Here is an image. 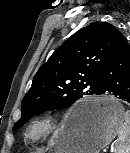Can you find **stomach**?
I'll use <instances>...</instances> for the list:
<instances>
[{
	"instance_id": "1",
	"label": "stomach",
	"mask_w": 130,
	"mask_h": 153,
	"mask_svg": "<svg viewBox=\"0 0 130 153\" xmlns=\"http://www.w3.org/2000/svg\"><path fill=\"white\" fill-rule=\"evenodd\" d=\"M80 108H92L94 113L84 120L75 118ZM124 108L113 97H95L81 101L65 126L51 138L49 153H99L115 138L124 122Z\"/></svg>"
}]
</instances>
